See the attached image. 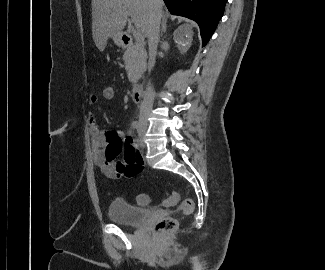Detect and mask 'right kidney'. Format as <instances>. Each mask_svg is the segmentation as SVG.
<instances>
[{"instance_id": "right-kidney-1", "label": "right kidney", "mask_w": 325, "mask_h": 270, "mask_svg": "<svg viewBox=\"0 0 325 270\" xmlns=\"http://www.w3.org/2000/svg\"><path fill=\"white\" fill-rule=\"evenodd\" d=\"M173 36L174 40L178 43V49L181 53H185L190 48L193 41L191 28L187 25L180 26L175 30Z\"/></svg>"}]
</instances>
